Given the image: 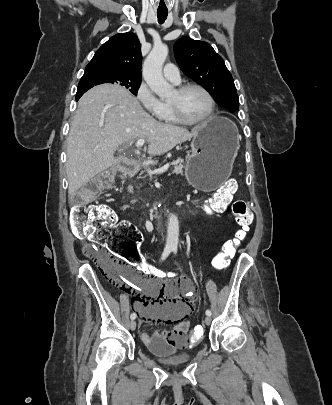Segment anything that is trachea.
I'll use <instances>...</instances> for the list:
<instances>
[{
	"label": "trachea",
	"mask_w": 332,
	"mask_h": 405,
	"mask_svg": "<svg viewBox=\"0 0 332 405\" xmlns=\"http://www.w3.org/2000/svg\"><path fill=\"white\" fill-rule=\"evenodd\" d=\"M167 15H168V11H166V10H164V11L158 10V11H157V18H158L159 24H163V23H164V21H165L166 18H167Z\"/></svg>",
	"instance_id": "trachea-1"
}]
</instances>
